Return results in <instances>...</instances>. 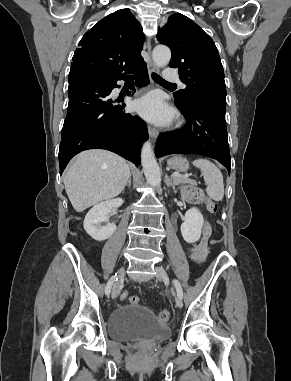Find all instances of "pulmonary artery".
Returning a JSON list of instances; mask_svg holds the SVG:
<instances>
[{
    "mask_svg": "<svg viewBox=\"0 0 291 381\" xmlns=\"http://www.w3.org/2000/svg\"><path fill=\"white\" fill-rule=\"evenodd\" d=\"M164 77H165V80H167V81L179 82L177 71L172 67H166L165 68Z\"/></svg>",
    "mask_w": 291,
    "mask_h": 381,
    "instance_id": "obj_1",
    "label": "pulmonary artery"
}]
</instances>
